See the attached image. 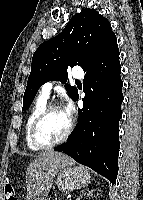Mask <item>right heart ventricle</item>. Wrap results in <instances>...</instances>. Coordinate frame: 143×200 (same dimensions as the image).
Segmentation results:
<instances>
[{
  "label": "right heart ventricle",
  "instance_id": "e07e8e85",
  "mask_svg": "<svg viewBox=\"0 0 143 200\" xmlns=\"http://www.w3.org/2000/svg\"><path fill=\"white\" fill-rule=\"evenodd\" d=\"M47 99L46 97L42 96L41 94L37 97L34 104L32 105V108L28 114L26 124H25V141L29 149L38 151L40 148L36 147L31 140L30 131L32 124L34 120L37 118V116L41 113V111L44 109V107L47 105Z\"/></svg>",
  "mask_w": 143,
  "mask_h": 200
}]
</instances>
